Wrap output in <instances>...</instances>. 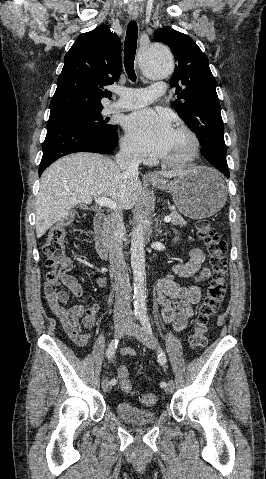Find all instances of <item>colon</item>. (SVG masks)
<instances>
[{
  "instance_id": "obj_1",
  "label": "colon",
  "mask_w": 266,
  "mask_h": 479,
  "mask_svg": "<svg viewBox=\"0 0 266 479\" xmlns=\"http://www.w3.org/2000/svg\"><path fill=\"white\" fill-rule=\"evenodd\" d=\"M198 236L203 240L210 256L212 277L207 286L205 297L200 304L197 317L189 337V346L193 350L202 349L207 344V334L211 320L216 314L226 291L227 280V259L226 242L217 234L215 228L207 219H200L196 223ZM66 223L61 222L54 225L48 232L43 252L46 257V287L54 288L62 275L69 269L70 260L65 252ZM75 237L85 241L90 239L86 231L76 230ZM120 388L126 393H132L133 387L129 380L127 367L121 366L118 369ZM140 401L147 406L155 405L158 401L156 393H143Z\"/></svg>"
}]
</instances>
